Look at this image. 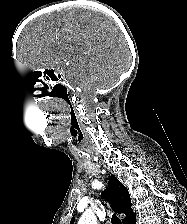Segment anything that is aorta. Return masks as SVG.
<instances>
[{"label": "aorta", "mask_w": 187, "mask_h": 224, "mask_svg": "<svg viewBox=\"0 0 187 224\" xmlns=\"http://www.w3.org/2000/svg\"><path fill=\"white\" fill-rule=\"evenodd\" d=\"M78 224H97L96 216L92 211L87 210L80 217Z\"/></svg>", "instance_id": "obj_1"}]
</instances>
